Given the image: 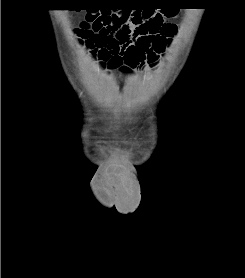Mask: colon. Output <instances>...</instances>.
Wrapping results in <instances>:
<instances>
[{
    "instance_id": "obj_1",
    "label": "colon",
    "mask_w": 245,
    "mask_h": 278,
    "mask_svg": "<svg viewBox=\"0 0 245 278\" xmlns=\"http://www.w3.org/2000/svg\"><path fill=\"white\" fill-rule=\"evenodd\" d=\"M173 25L165 21L160 14L150 8H134L118 14H100L91 23H83L75 32L86 33L88 39L97 41V48L89 43L95 55H102L101 43L115 35L122 45H126L134 38H138L142 46L152 44L155 50L161 51L163 45L173 34Z\"/></svg>"
}]
</instances>
